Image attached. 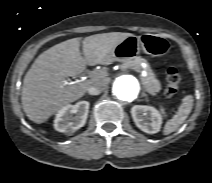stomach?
<instances>
[{
	"instance_id": "obj_1",
	"label": "stomach",
	"mask_w": 212,
	"mask_h": 183,
	"mask_svg": "<svg viewBox=\"0 0 212 183\" xmlns=\"http://www.w3.org/2000/svg\"><path fill=\"white\" fill-rule=\"evenodd\" d=\"M171 48V42L159 34L144 33L140 36L131 35L110 52L108 61L125 62L133 59L141 51L147 55L159 57L169 53Z\"/></svg>"
}]
</instances>
